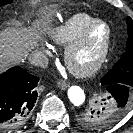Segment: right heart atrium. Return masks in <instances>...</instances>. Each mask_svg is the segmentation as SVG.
<instances>
[{
  "mask_svg": "<svg viewBox=\"0 0 133 133\" xmlns=\"http://www.w3.org/2000/svg\"><path fill=\"white\" fill-rule=\"evenodd\" d=\"M42 49H43L45 52H47V53L49 52L48 47H47L46 45H43V46H42Z\"/></svg>",
  "mask_w": 133,
  "mask_h": 133,
  "instance_id": "obj_1",
  "label": "right heart atrium"
}]
</instances>
